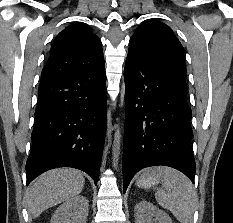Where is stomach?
<instances>
[{"instance_id": "1", "label": "stomach", "mask_w": 233, "mask_h": 223, "mask_svg": "<svg viewBox=\"0 0 233 223\" xmlns=\"http://www.w3.org/2000/svg\"><path fill=\"white\" fill-rule=\"evenodd\" d=\"M161 171H163L162 167H150V169H146L139 179H137L136 185L142 187V189L155 187V185H158L161 177H163Z\"/></svg>"}]
</instances>
